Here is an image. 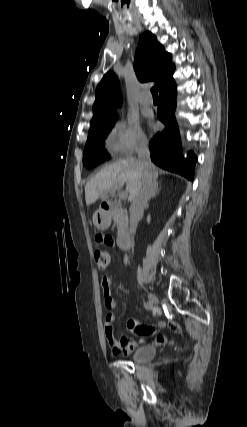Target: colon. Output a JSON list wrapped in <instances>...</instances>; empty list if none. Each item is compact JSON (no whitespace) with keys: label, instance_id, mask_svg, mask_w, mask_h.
Returning <instances> with one entry per match:
<instances>
[{"label":"colon","instance_id":"colon-1","mask_svg":"<svg viewBox=\"0 0 247 427\" xmlns=\"http://www.w3.org/2000/svg\"><path fill=\"white\" fill-rule=\"evenodd\" d=\"M110 253L105 250H98L94 253V261L100 271H104L110 263Z\"/></svg>","mask_w":247,"mask_h":427}]
</instances>
